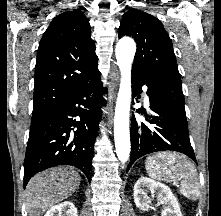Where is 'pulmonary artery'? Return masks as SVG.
<instances>
[{
    "mask_svg": "<svg viewBox=\"0 0 221 216\" xmlns=\"http://www.w3.org/2000/svg\"><path fill=\"white\" fill-rule=\"evenodd\" d=\"M145 102L147 105L149 104V97L147 95L145 96Z\"/></svg>",
    "mask_w": 221,
    "mask_h": 216,
    "instance_id": "1",
    "label": "pulmonary artery"
}]
</instances>
